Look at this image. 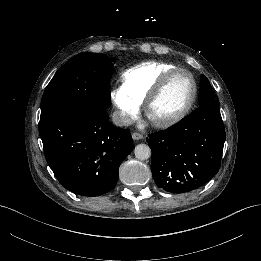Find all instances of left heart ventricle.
<instances>
[{
    "label": "left heart ventricle",
    "mask_w": 261,
    "mask_h": 261,
    "mask_svg": "<svg viewBox=\"0 0 261 261\" xmlns=\"http://www.w3.org/2000/svg\"><path fill=\"white\" fill-rule=\"evenodd\" d=\"M192 83L184 73L176 74L151 108L154 119H165L180 112L192 95Z\"/></svg>",
    "instance_id": "obj_1"
}]
</instances>
